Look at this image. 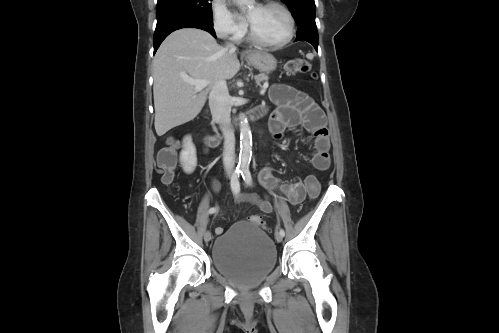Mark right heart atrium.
<instances>
[{"instance_id": "d8ad5b80", "label": "right heart atrium", "mask_w": 499, "mask_h": 333, "mask_svg": "<svg viewBox=\"0 0 499 333\" xmlns=\"http://www.w3.org/2000/svg\"><path fill=\"white\" fill-rule=\"evenodd\" d=\"M212 26L219 37L231 40H239L245 32L244 24L233 15L224 0L212 2Z\"/></svg>"}]
</instances>
